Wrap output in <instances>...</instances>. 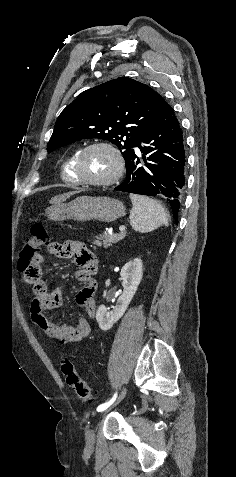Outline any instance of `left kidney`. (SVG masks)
Masks as SVG:
<instances>
[{
	"label": "left kidney",
	"instance_id": "obj_1",
	"mask_svg": "<svg viewBox=\"0 0 236 477\" xmlns=\"http://www.w3.org/2000/svg\"><path fill=\"white\" fill-rule=\"evenodd\" d=\"M122 278L123 293L118 298L113 310L108 311L101 305L96 313V320L103 331L109 330L125 313L130 304L143 276L142 260L135 258L126 263L120 272Z\"/></svg>",
	"mask_w": 236,
	"mask_h": 477
}]
</instances>
